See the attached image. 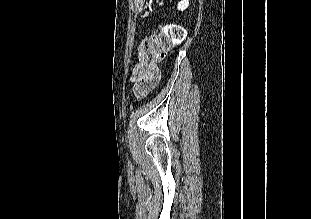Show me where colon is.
<instances>
[{
    "instance_id": "1",
    "label": "colon",
    "mask_w": 311,
    "mask_h": 219,
    "mask_svg": "<svg viewBox=\"0 0 311 219\" xmlns=\"http://www.w3.org/2000/svg\"><path fill=\"white\" fill-rule=\"evenodd\" d=\"M185 37V30L174 23L163 25L157 33L145 36L139 45L141 64L139 72L159 76L156 64L162 61L167 52L181 43Z\"/></svg>"
}]
</instances>
